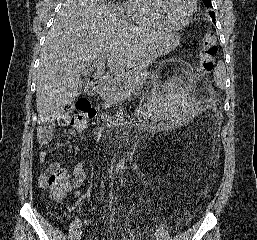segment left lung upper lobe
<instances>
[{"mask_svg": "<svg viewBox=\"0 0 257 240\" xmlns=\"http://www.w3.org/2000/svg\"><path fill=\"white\" fill-rule=\"evenodd\" d=\"M204 5L207 7V8H212V4H211V0H202ZM209 14L210 16L213 18V22L215 23V13L214 12H211L209 11Z\"/></svg>", "mask_w": 257, "mask_h": 240, "instance_id": "obj_1", "label": "left lung upper lobe"}]
</instances>
